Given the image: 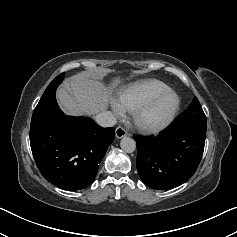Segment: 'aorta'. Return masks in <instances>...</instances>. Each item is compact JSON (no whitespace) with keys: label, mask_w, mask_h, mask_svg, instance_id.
<instances>
[{"label":"aorta","mask_w":237,"mask_h":237,"mask_svg":"<svg viewBox=\"0 0 237 237\" xmlns=\"http://www.w3.org/2000/svg\"><path fill=\"white\" fill-rule=\"evenodd\" d=\"M121 149L126 153H132L136 149V142L130 137H123L120 141Z\"/></svg>","instance_id":"1"}]
</instances>
